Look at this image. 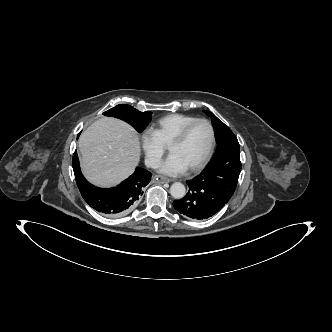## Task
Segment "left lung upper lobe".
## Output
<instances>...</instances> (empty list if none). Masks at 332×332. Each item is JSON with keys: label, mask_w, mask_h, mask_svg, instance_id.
Returning a JSON list of instances; mask_svg holds the SVG:
<instances>
[{"label": "left lung upper lobe", "mask_w": 332, "mask_h": 332, "mask_svg": "<svg viewBox=\"0 0 332 332\" xmlns=\"http://www.w3.org/2000/svg\"><path fill=\"white\" fill-rule=\"evenodd\" d=\"M206 113L211 116L218 148L212 160L199 176L211 188L230 199L236 189L241 171L239 143L228 126L213 113Z\"/></svg>", "instance_id": "1"}]
</instances>
